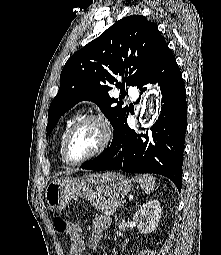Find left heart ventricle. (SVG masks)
I'll return each mask as SVG.
<instances>
[{
	"label": "left heart ventricle",
	"instance_id": "b2bd125f",
	"mask_svg": "<svg viewBox=\"0 0 221 255\" xmlns=\"http://www.w3.org/2000/svg\"><path fill=\"white\" fill-rule=\"evenodd\" d=\"M102 129L99 124L90 122L78 129L69 143V155L72 160H80L91 154L102 141Z\"/></svg>",
	"mask_w": 221,
	"mask_h": 255
}]
</instances>
